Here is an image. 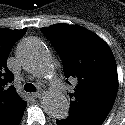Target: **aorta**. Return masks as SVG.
Instances as JSON below:
<instances>
[{
	"mask_svg": "<svg viewBox=\"0 0 125 125\" xmlns=\"http://www.w3.org/2000/svg\"><path fill=\"white\" fill-rule=\"evenodd\" d=\"M17 56L22 66L30 73L43 77L48 73L50 53L47 46L40 39L29 37L18 46ZM42 108L49 116L64 119L68 116L69 102L58 91H47L41 100Z\"/></svg>",
	"mask_w": 125,
	"mask_h": 125,
	"instance_id": "obj_1",
	"label": "aorta"
}]
</instances>
